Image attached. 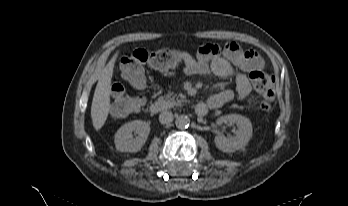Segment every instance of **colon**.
I'll return each instance as SVG.
<instances>
[{"instance_id":"obj_1","label":"colon","mask_w":348,"mask_h":206,"mask_svg":"<svg viewBox=\"0 0 348 206\" xmlns=\"http://www.w3.org/2000/svg\"><path fill=\"white\" fill-rule=\"evenodd\" d=\"M216 48L217 45L210 44ZM184 56L181 52L172 49H158L148 51L136 49L122 58L120 68L123 77L138 91L137 94H129L123 85L115 81L112 86V111L118 116L134 114L139 112L145 103L142 92L146 87L145 67L167 72L183 62ZM250 82L255 91L260 95V108L268 111L272 108L274 97L273 76L254 70L249 74Z\"/></svg>"}]
</instances>
